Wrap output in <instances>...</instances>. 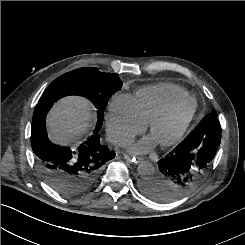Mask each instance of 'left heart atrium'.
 I'll list each match as a JSON object with an SVG mask.
<instances>
[{
  "instance_id": "39dd6f15",
  "label": "left heart atrium",
  "mask_w": 245,
  "mask_h": 245,
  "mask_svg": "<svg viewBox=\"0 0 245 245\" xmlns=\"http://www.w3.org/2000/svg\"><path fill=\"white\" fill-rule=\"evenodd\" d=\"M156 141L153 137L142 139L130 147V151L135 154H143L148 152L154 145Z\"/></svg>"
}]
</instances>
